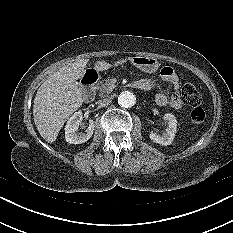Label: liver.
<instances>
[{
	"label": "liver",
	"instance_id": "liver-1",
	"mask_svg": "<svg viewBox=\"0 0 233 233\" xmlns=\"http://www.w3.org/2000/svg\"><path fill=\"white\" fill-rule=\"evenodd\" d=\"M88 59L70 62L52 74L39 87L33 104V117L41 137L53 143L61 128L74 111L80 108L84 99L78 87V79L85 75ZM111 64L101 61L97 71L111 68Z\"/></svg>",
	"mask_w": 233,
	"mask_h": 233
}]
</instances>
